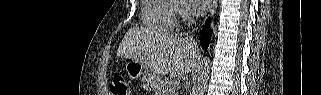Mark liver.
Segmentation results:
<instances>
[{
	"mask_svg": "<svg viewBox=\"0 0 321 95\" xmlns=\"http://www.w3.org/2000/svg\"><path fill=\"white\" fill-rule=\"evenodd\" d=\"M117 56L132 58L156 75L183 76L192 71L200 52L188 38L156 35L147 29L133 27L120 43Z\"/></svg>",
	"mask_w": 321,
	"mask_h": 95,
	"instance_id": "6515ba94",
	"label": "liver"
}]
</instances>
